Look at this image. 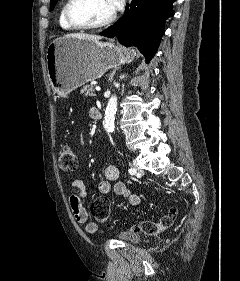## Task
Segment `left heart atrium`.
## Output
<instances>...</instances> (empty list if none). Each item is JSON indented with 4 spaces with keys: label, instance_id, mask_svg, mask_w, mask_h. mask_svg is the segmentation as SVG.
I'll return each mask as SVG.
<instances>
[{
    "label": "left heart atrium",
    "instance_id": "obj_1",
    "mask_svg": "<svg viewBox=\"0 0 240 281\" xmlns=\"http://www.w3.org/2000/svg\"><path fill=\"white\" fill-rule=\"evenodd\" d=\"M113 11L120 9L123 6L124 0H108Z\"/></svg>",
    "mask_w": 240,
    "mask_h": 281
}]
</instances>
